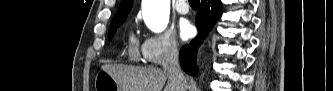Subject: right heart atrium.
I'll return each mask as SVG.
<instances>
[{
    "label": "right heart atrium",
    "mask_w": 333,
    "mask_h": 91,
    "mask_svg": "<svg viewBox=\"0 0 333 91\" xmlns=\"http://www.w3.org/2000/svg\"><path fill=\"white\" fill-rule=\"evenodd\" d=\"M144 60L153 65H161L177 57L179 46L171 33L147 34L141 44Z\"/></svg>",
    "instance_id": "d8ad5b80"
}]
</instances>
